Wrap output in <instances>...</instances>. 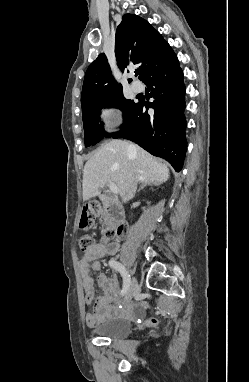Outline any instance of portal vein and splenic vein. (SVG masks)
Instances as JSON below:
<instances>
[{
    "mask_svg": "<svg viewBox=\"0 0 249 382\" xmlns=\"http://www.w3.org/2000/svg\"><path fill=\"white\" fill-rule=\"evenodd\" d=\"M109 188L113 194L119 193V188L114 183H109Z\"/></svg>",
    "mask_w": 249,
    "mask_h": 382,
    "instance_id": "1",
    "label": "portal vein and splenic vein"
}]
</instances>
